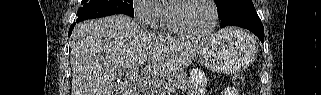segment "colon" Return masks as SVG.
<instances>
[{
  "instance_id": "5ec220e1",
  "label": "colon",
  "mask_w": 321,
  "mask_h": 95,
  "mask_svg": "<svg viewBox=\"0 0 321 95\" xmlns=\"http://www.w3.org/2000/svg\"><path fill=\"white\" fill-rule=\"evenodd\" d=\"M244 76L242 74H235L233 77H232V83L235 85V86H242L244 84Z\"/></svg>"
}]
</instances>
